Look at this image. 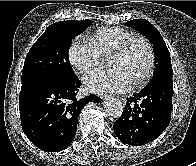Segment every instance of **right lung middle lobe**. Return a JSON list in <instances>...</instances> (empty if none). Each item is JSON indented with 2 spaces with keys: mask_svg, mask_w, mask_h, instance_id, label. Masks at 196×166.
I'll use <instances>...</instances> for the list:
<instances>
[{
  "mask_svg": "<svg viewBox=\"0 0 196 166\" xmlns=\"http://www.w3.org/2000/svg\"><path fill=\"white\" fill-rule=\"evenodd\" d=\"M93 23L92 20L60 21L51 24L29 50L21 80L46 77L70 82L77 78L67 51L72 39Z\"/></svg>",
  "mask_w": 196,
  "mask_h": 166,
  "instance_id": "dd1d6c3e",
  "label": "right lung middle lobe"
}]
</instances>
